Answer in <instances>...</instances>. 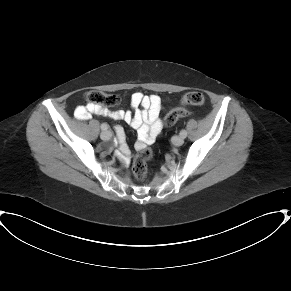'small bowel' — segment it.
<instances>
[{
	"mask_svg": "<svg viewBox=\"0 0 291 291\" xmlns=\"http://www.w3.org/2000/svg\"><path fill=\"white\" fill-rule=\"evenodd\" d=\"M130 103L133 111L101 109L88 105H80L75 109V116L79 119H86L94 114L108 116L113 120L124 121L137 130L139 141L135 147L139 150L151 144L161 132L162 122L160 120V113L163 106L159 96H147L141 92L133 93ZM117 132L122 134V129L117 127ZM118 156L126 164L129 163L132 156L130 148L122 138L120 139V153Z\"/></svg>",
	"mask_w": 291,
	"mask_h": 291,
	"instance_id": "1",
	"label": "small bowel"
}]
</instances>
